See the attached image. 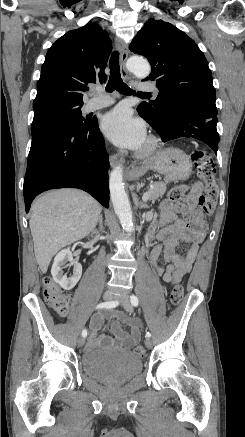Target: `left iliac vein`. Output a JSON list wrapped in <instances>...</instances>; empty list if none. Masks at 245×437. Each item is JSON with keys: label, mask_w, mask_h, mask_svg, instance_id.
Instances as JSON below:
<instances>
[{"label": "left iliac vein", "mask_w": 245, "mask_h": 437, "mask_svg": "<svg viewBox=\"0 0 245 437\" xmlns=\"http://www.w3.org/2000/svg\"><path fill=\"white\" fill-rule=\"evenodd\" d=\"M116 299L121 302L122 306L124 307V309L127 312H129V313L132 312L133 309H132V305L130 303L128 295L123 294V295L117 296ZM145 344L148 348H150L152 346V341L150 339H147Z\"/></svg>", "instance_id": "obj_1"}]
</instances>
